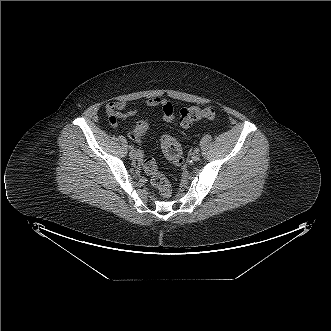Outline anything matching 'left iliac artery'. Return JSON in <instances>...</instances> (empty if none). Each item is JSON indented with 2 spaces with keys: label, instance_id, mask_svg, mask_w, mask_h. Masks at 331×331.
<instances>
[{
  "label": "left iliac artery",
  "instance_id": "44dca946",
  "mask_svg": "<svg viewBox=\"0 0 331 331\" xmlns=\"http://www.w3.org/2000/svg\"><path fill=\"white\" fill-rule=\"evenodd\" d=\"M194 151H195V152H199L200 150H199L198 147H196Z\"/></svg>",
  "mask_w": 331,
  "mask_h": 331
}]
</instances>
